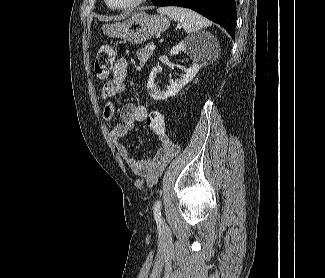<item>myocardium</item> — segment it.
<instances>
[{"label": "myocardium", "mask_w": 325, "mask_h": 278, "mask_svg": "<svg viewBox=\"0 0 325 278\" xmlns=\"http://www.w3.org/2000/svg\"><path fill=\"white\" fill-rule=\"evenodd\" d=\"M148 0H134L128 4L122 5V6H114L112 5L109 0H105L107 6L113 10H129V9H133L135 7H138L139 5L145 3Z\"/></svg>", "instance_id": "myocardium-1"}]
</instances>
